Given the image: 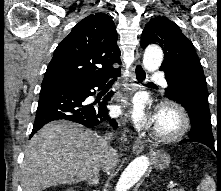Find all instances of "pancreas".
I'll return each mask as SVG.
<instances>
[{
    "mask_svg": "<svg viewBox=\"0 0 221 191\" xmlns=\"http://www.w3.org/2000/svg\"><path fill=\"white\" fill-rule=\"evenodd\" d=\"M169 191H184L183 189H173L171 188Z\"/></svg>",
    "mask_w": 221,
    "mask_h": 191,
    "instance_id": "pancreas-1",
    "label": "pancreas"
}]
</instances>
